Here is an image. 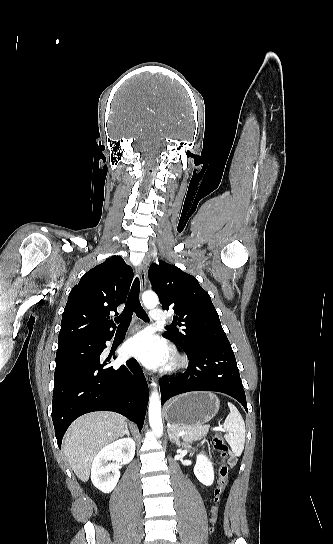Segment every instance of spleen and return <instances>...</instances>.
<instances>
[{
    "label": "spleen",
    "mask_w": 333,
    "mask_h": 544,
    "mask_svg": "<svg viewBox=\"0 0 333 544\" xmlns=\"http://www.w3.org/2000/svg\"><path fill=\"white\" fill-rule=\"evenodd\" d=\"M230 413L223 423V427L228 431L224 435L225 440L230 445L233 453L240 456L245 444V423L238 409L228 402Z\"/></svg>",
    "instance_id": "spleen-1"
}]
</instances>
